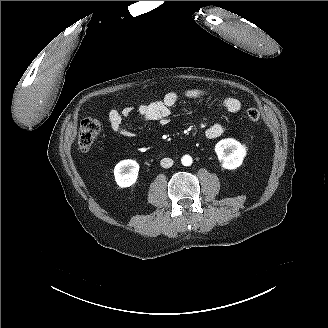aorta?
Here are the masks:
<instances>
[{"label": "aorta", "mask_w": 328, "mask_h": 328, "mask_svg": "<svg viewBox=\"0 0 328 328\" xmlns=\"http://www.w3.org/2000/svg\"><path fill=\"white\" fill-rule=\"evenodd\" d=\"M181 162L184 166H190L192 164V158L189 155H184Z\"/></svg>", "instance_id": "762f6f07"}]
</instances>
